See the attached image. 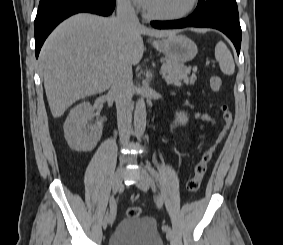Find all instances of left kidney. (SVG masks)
<instances>
[{"instance_id": "1", "label": "left kidney", "mask_w": 283, "mask_h": 245, "mask_svg": "<svg viewBox=\"0 0 283 245\" xmlns=\"http://www.w3.org/2000/svg\"><path fill=\"white\" fill-rule=\"evenodd\" d=\"M177 120L180 124L184 125L188 121V117L184 112H176Z\"/></svg>"}]
</instances>
